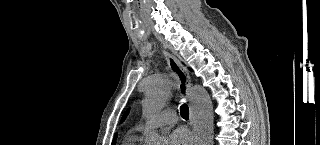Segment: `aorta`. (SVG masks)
Masks as SVG:
<instances>
[{
	"label": "aorta",
	"mask_w": 320,
	"mask_h": 145,
	"mask_svg": "<svg viewBox=\"0 0 320 145\" xmlns=\"http://www.w3.org/2000/svg\"><path fill=\"white\" fill-rule=\"evenodd\" d=\"M171 80L166 75H157L149 80L143 112L153 118L167 104L171 92ZM193 109L194 138L196 145H213V105L207 91L195 86L191 93ZM148 145H161V137L156 131L147 135Z\"/></svg>",
	"instance_id": "762f6f07"
}]
</instances>
